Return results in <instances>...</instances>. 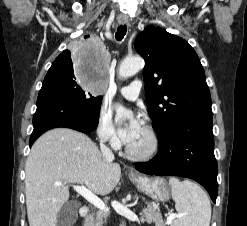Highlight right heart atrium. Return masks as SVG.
Masks as SVG:
<instances>
[{
    "instance_id": "right-heart-atrium-1",
    "label": "right heart atrium",
    "mask_w": 247,
    "mask_h": 226,
    "mask_svg": "<svg viewBox=\"0 0 247 226\" xmlns=\"http://www.w3.org/2000/svg\"><path fill=\"white\" fill-rule=\"evenodd\" d=\"M96 132L101 142L112 147H117L119 145V139L113 125L111 112L105 106H102L99 110Z\"/></svg>"
}]
</instances>
